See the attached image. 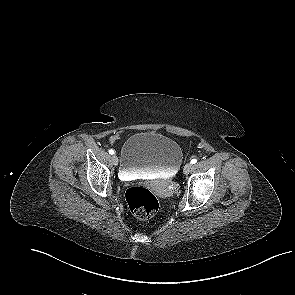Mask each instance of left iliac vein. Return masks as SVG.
<instances>
[{
    "label": "left iliac vein",
    "mask_w": 295,
    "mask_h": 295,
    "mask_svg": "<svg viewBox=\"0 0 295 295\" xmlns=\"http://www.w3.org/2000/svg\"><path fill=\"white\" fill-rule=\"evenodd\" d=\"M192 169V164L191 163H187L185 166H184V169H183V172L184 174H189L190 171Z\"/></svg>",
    "instance_id": "left-iliac-vein-1"
}]
</instances>
